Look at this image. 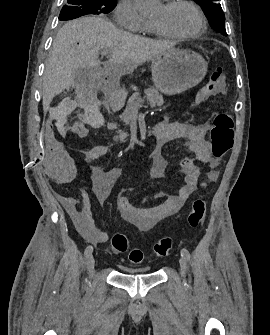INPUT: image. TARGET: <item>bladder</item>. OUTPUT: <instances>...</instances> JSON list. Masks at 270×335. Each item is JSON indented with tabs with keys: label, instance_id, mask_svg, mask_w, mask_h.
I'll return each instance as SVG.
<instances>
[{
	"label": "bladder",
	"instance_id": "31cf9c89",
	"mask_svg": "<svg viewBox=\"0 0 270 335\" xmlns=\"http://www.w3.org/2000/svg\"><path fill=\"white\" fill-rule=\"evenodd\" d=\"M127 273H133V274H146V273H150L151 269L149 270H145V271H126Z\"/></svg>",
	"mask_w": 270,
	"mask_h": 335
}]
</instances>
